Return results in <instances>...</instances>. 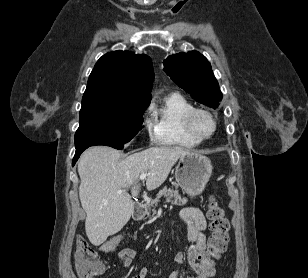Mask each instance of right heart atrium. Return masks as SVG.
Wrapping results in <instances>:
<instances>
[{
	"label": "right heart atrium",
	"instance_id": "obj_1",
	"mask_svg": "<svg viewBox=\"0 0 308 278\" xmlns=\"http://www.w3.org/2000/svg\"><path fill=\"white\" fill-rule=\"evenodd\" d=\"M144 127H145L146 131L148 132L150 138L154 139L153 122H152L151 118H149L148 116H146L145 119H144Z\"/></svg>",
	"mask_w": 308,
	"mask_h": 278
}]
</instances>
